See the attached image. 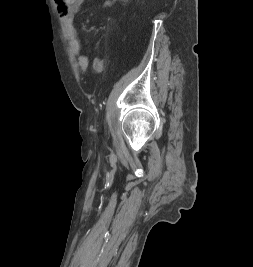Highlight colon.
I'll return each instance as SVG.
<instances>
[{
    "label": "colon",
    "mask_w": 253,
    "mask_h": 267,
    "mask_svg": "<svg viewBox=\"0 0 253 267\" xmlns=\"http://www.w3.org/2000/svg\"><path fill=\"white\" fill-rule=\"evenodd\" d=\"M58 2L62 5H69L73 2V0H58Z\"/></svg>",
    "instance_id": "5ec220e1"
}]
</instances>
